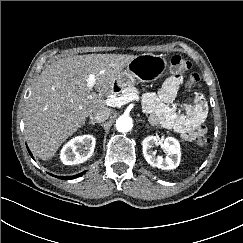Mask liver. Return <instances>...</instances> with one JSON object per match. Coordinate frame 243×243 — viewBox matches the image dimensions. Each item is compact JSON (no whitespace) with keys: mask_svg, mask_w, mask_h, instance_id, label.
<instances>
[{"mask_svg":"<svg viewBox=\"0 0 243 243\" xmlns=\"http://www.w3.org/2000/svg\"><path fill=\"white\" fill-rule=\"evenodd\" d=\"M134 58L122 54L68 56L48 65L32 88L25 109V130L32 151L51 159L93 110L105 108L118 74ZM96 76L95 91L87 87ZM98 92V93H97Z\"/></svg>","mask_w":243,"mask_h":243,"instance_id":"1","label":"liver"}]
</instances>
